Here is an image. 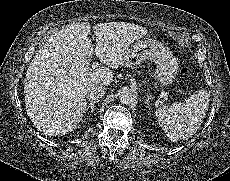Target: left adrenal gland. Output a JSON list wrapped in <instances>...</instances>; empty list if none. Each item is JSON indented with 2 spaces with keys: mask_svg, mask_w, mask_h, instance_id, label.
<instances>
[{
  "mask_svg": "<svg viewBox=\"0 0 230 181\" xmlns=\"http://www.w3.org/2000/svg\"><path fill=\"white\" fill-rule=\"evenodd\" d=\"M145 103H146V104H148V103H149V96H148L147 100L145 101Z\"/></svg>",
  "mask_w": 230,
  "mask_h": 181,
  "instance_id": "a2214340",
  "label": "left adrenal gland"
}]
</instances>
